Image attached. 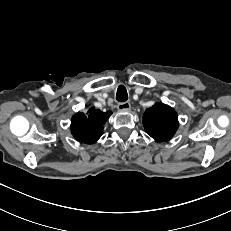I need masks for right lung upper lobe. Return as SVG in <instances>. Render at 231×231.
<instances>
[{"instance_id": "1", "label": "right lung upper lobe", "mask_w": 231, "mask_h": 231, "mask_svg": "<svg viewBox=\"0 0 231 231\" xmlns=\"http://www.w3.org/2000/svg\"><path fill=\"white\" fill-rule=\"evenodd\" d=\"M112 114L101 112L95 108L87 113L78 112L72 117L71 133L80 142L95 143L103 134V125Z\"/></svg>"}]
</instances>
